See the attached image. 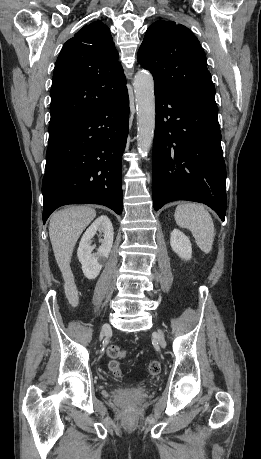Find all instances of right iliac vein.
<instances>
[{"label":"right iliac vein","instance_id":"obj_1","mask_svg":"<svg viewBox=\"0 0 261 459\" xmlns=\"http://www.w3.org/2000/svg\"><path fill=\"white\" fill-rule=\"evenodd\" d=\"M109 330H110V325L108 323L103 324L101 333H100V339H102Z\"/></svg>","mask_w":261,"mask_h":459}]
</instances>
